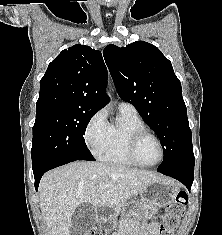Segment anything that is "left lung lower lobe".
Segmentation results:
<instances>
[{"label":"left lung lower lobe","mask_w":222,"mask_h":235,"mask_svg":"<svg viewBox=\"0 0 222 235\" xmlns=\"http://www.w3.org/2000/svg\"><path fill=\"white\" fill-rule=\"evenodd\" d=\"M158 172L177 179L190 191L193 183L194 167L183 166L170 169H158Z\"/></svg>","instance_id":"1"}]
</instances>
